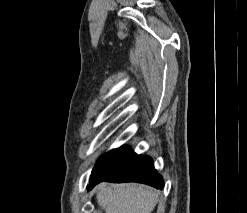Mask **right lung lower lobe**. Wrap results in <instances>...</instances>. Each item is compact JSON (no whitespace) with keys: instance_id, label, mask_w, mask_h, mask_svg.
Segmentation results:
<instances>
[{"instance_id":"obj_1","label":"right lung lower lobe","mask_w":247,"mask_h":213,"mask_svg":"<svg viewBox=\"0 0 247 213\" xmlns=\"http://www.w3.org/2000/svg\"><path fill=\"white\" fill-rule=\"evenodd\" d=\"M138 182L157 189L164 187L161 176L156 172L152 159L137 155L129 147L122 146L112 150L98 165V175L90 180L87 186L91 190L96 184L103 182Z\"/></svg>"}]
</instances>
